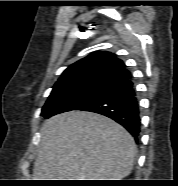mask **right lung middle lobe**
<instances>
[{
  "mask_svg": "<svg viewBox=\"0 0 178 186\" xmlns=\"http://www.w3.org/2000/svg\"><path fill=\"white\" fill-rule=\"evenodd\" d=\"M109 86L107 84H86L52 91L42 108L41 116L49 118L62 112L77 110Z\"/></svg>",
  "mask_w": 178,
  "mask_h": 186,
  "instance_id": "right-lung-middle-lobe-1",
  "label": "right lung middle lobe"
}]
</instances>
